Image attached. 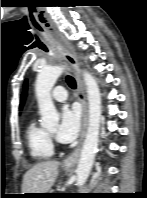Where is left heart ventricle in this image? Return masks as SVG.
<instances>
[{
  "label": "left heart ventricle",
  "mask_w": 147,
  "mask_h": 198,
  "mask_svg": "<svg viewBox=\"0 0 147 198\" xmlns=\"http://www.w3.org/2000/svg\"><path fill=\"white\" fill-rule=\"evenodd\" d=\"M50 131H51V132H55V128H51Z\"/></svg>",
  "instance_id": "left-heart-ventricle-1"
}]
</instances>
